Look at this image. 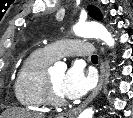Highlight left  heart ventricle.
Masks as SVG:
<instances>
[{
    "label": "left heart ventricle",
    "instance_id": "1",
    "mask_svg": "<svg viewBox=\"0 0 133 118\" xmlns=\"http://www.w3.org/2000/svg\"><path fill=\"white\" fill-rule=\"evenodd\" d=\"M49 77L51 79L55 93L57 95L63 97V95L60 92V85H61L62 79L64 77V72L63 71H55L53 73H50Z\"/></svg>",
    "mask_w": 133,
    "mask_h": 118
}]
</instances>
